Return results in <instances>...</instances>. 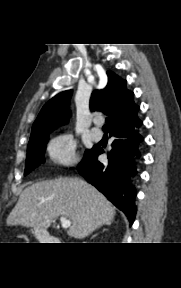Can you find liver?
Instances as JSON below:
<instances>
[{
    "label": "liver",
    "instance_id": "obj_1",
    "mask_svg": "<svg viewBox=\"0 0 181 288\" xmlns=\"http://www.w3.org/2000/svg\"><path fill=\"white\" fill-rule=\"evenodd\" d=\"M59 216L71 220L67 234L82 239L109 224L115 208L95 187L79 178H58L26 187L7 217L9 226L31 227L46 233Z\"/></svg>",
    "mask_w": 181,
    "mask_h": 288
}]
</instances>
